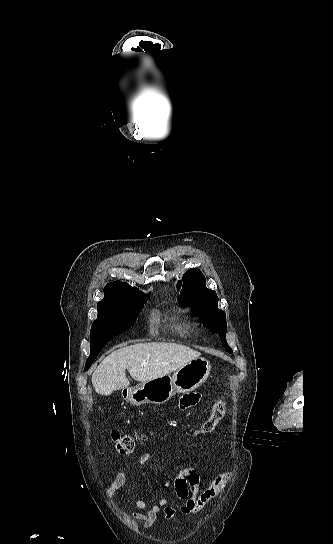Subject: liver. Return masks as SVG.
Returning a JSON list of instances; mask_svg holds the SVG:
<instances>
[{
    "mask_svg": "<svg viewBox=\"0 0 333 544\" xmlns=\"http://www.w3.org/2000/svg\"><path fill=\"white\" fill-rule=\"evenodd\" d=\"M200 355V352L177 343L149 342L125 346L113 351L99 364L92 375V384L96 393L107 396L128 388L126 369L134 380L145 383L179 369ZM142 363L146 366L141 367Z\"/></svg>",
    "mask_w": 333,
    "mask_h": 544,
    "instance_id": "1",
    "label": "liver"
}]
</instances>
